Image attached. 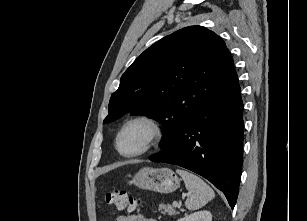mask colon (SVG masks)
<instances>
[{
	"label": "colon",
	"mask_w": 307,
	"mask_h": 221,
	"mask_svg": "<svg viewBox=\"0 0 307 221\" xmlns=\"http://www.w3.org/2000/svg\"><path fill=\"white\" fill-rule=\"evenodd\" d=\"M105 201L119 210L127 209L130 212L135 211L140 203L138 198L129 195L124 190L118 189L107 192L105 194Z\"/></svg>",
	"instance_id": "obj_1"
}]
</instances>
